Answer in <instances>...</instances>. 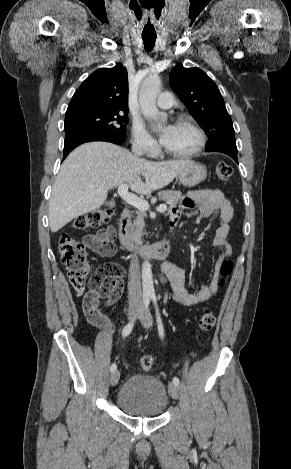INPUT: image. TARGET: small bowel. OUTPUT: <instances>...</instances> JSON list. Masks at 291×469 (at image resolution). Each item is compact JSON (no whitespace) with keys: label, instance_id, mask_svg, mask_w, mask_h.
<instances>
[{"label":"small bowel","instance_id":"obj_1","mask_svg":"<svg viewBox=\"0 0 291 469\" xmlns=\"http://www.w3.org/2000/svg\"><path fill=\"white\" fill-rule=\"evenodd\" d=\"M197 208L199 211L197 222L210 217L214 213L219 214V226L216 229L213 245L221 249V254L215 266L214 274L208 284L200 287L195 292H190L185 286V271L174 262L168 261L162 266V278L167 280L172 288L173 298L185 306H192L203 303L216 294L218 290L219 270L224 259L228 258L231 253V245L229 242L230 222L233 218V207L224 194L217 189H204L193 191L188 194L180 207L171 211V226H175L179 221L184 209ZM91 240L89 248L102 256H112L108 251L110 244L113 242L114 230L106 228L100 230L97 234L88 237ZM123 289V283L121 292ZM121 292L115 297L116 301Z\"/></svg>","mask_w":291,"mask_h":469}]
</instances>
